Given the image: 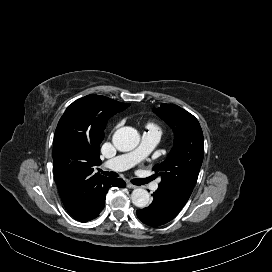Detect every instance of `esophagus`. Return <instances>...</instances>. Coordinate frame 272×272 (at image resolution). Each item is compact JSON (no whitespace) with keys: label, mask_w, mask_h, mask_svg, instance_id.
<instances>
[{"label":"esophagus","mask_w":272,"mask_h":272,"mask_svg":"<svg viewBox=\"0 0 272 272\" xmlns=\"http://www.w3.org/2000/svg\"><path fill=\"white\" fill-rule=\"evenodd\" d=\"M126 185H127V187L130 188V189H135V188H137L136 185L132 184V183L129 182V181H127Z\"/></svg>","instance_id":"esophagus-1"}]
</instances>
